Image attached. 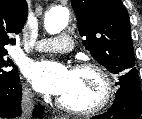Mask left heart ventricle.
<instances>
[{
  "instance_id": "b2bd125f",
  "label": "left heart ventricle",
  "mask_w": 142,
  "mask_h": 119,
  "mask_svg": "<svg viewBox=\"0 0 142 119\" xmlns=\"http://www.w3.org/2000/svg\"><path fill=\"white\" fill-rule=\"evenodd\" d=\"M102 92L100 78L91 70L71 71L69 85L60 98L69 105L88 108L95 105Z\"/></svg>"
}]
</instances>
